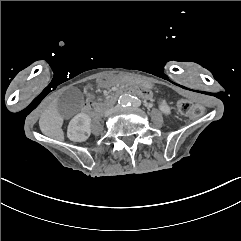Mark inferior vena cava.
Wrapping results in <instances>:
<instances>
[{"label":"inferior vena cava","instance_id":"1","mask_svg":"<svg viewBox=\"0 0 241 241\" xmlns=\"http://www.w3.org/2000/svg\"><path fill=\"white\" fill-rule=\"evenodd\" d=\"M105 115L107 116V115H108V112H105Z\"/></svg>","mask_w":241,"mask_h":241}]
</instances>
